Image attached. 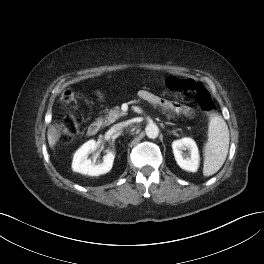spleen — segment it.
I'll use <instances>...</instances> for the list:
<instances>
[{
	"label": "spleen",
	"instance_id": "obj_1",
	"mask_svg": "<svg viewBox=\"0 0 264 264\" xmlns=\"http://www.w3.org/2000/svg\"><path fill=\"white\" fill-rule=\"evenodd\" d=\"M229 130L221 115L214 113L209 122L208 141L204 148L203 175L211 176L223 166L229 148Z\"/></svg>",
	"mask_w": 264,
	"mask_h": 264
}]
</instances>
